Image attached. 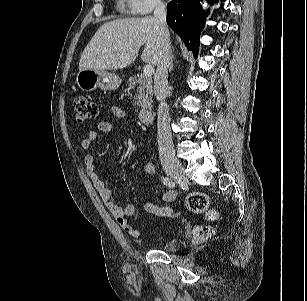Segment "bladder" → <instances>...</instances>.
<instances>
[{"mask_svg":"<svg viewBox=\"0 0 307 301\" xmlns=\"http://www.w3.org/2000/svg\"><path fill=\"white\" fill-rule=\"evenodd\" d=\"M176 245H177V240L175 238H171L162 243L161 249L170 251L173 250L176 247Z\"/></svg>","mask_w":307,"mask_h":301,"instance_id":"obj_1","label":"bladder"}]
</instances>
